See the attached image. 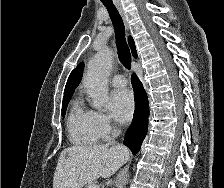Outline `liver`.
I'll use <instances>...</instances> for the list:
<instances>
[{"label":"liver","mask_w":224,"mask_h":188,"mask_svg":"<svg viewBox=\"0 0 224 188\" xmlns=\"http://www.w3.org/2000/svg\"><path fill=\"white\" fill-rule=\"evenodd\" d=\"M129 159L123 146L90 145L64 149L58 159L53 188H82L98 177L108 178Z\"/></svg>","instance_id":"6515ba94"}]
</instances>
